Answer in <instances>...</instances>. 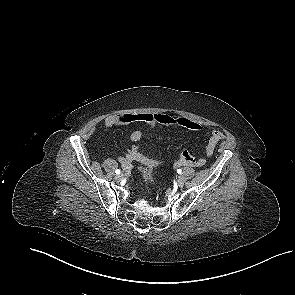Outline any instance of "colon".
<instances>
[{
    "label": "colon",
    "mask_w": 295,
    "mask_h": 295,
    "mask_svg": "<svg viewBox=\"0 0 295 295\" xmlns=\"http://www.w3.org/2000/svg\"><path fill=\"white\" fill-rule=\"evenodd\" d=\"M153 163L151 161H145L144 166L142 167V172L145 180H148L151 177Z\"/></svg>",
    "instance_id": "obj_1"
}]
</instances>
